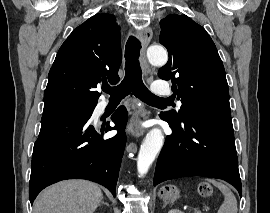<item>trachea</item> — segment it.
Instances as JSON below:
<instances>
[{
  "mask_svg": "<svg viewBox=\"0 0 270 213\" xmlns=\"http://www.w3.org/2000/svg\"><path fill=\"white\" fill-rule=\"evenodd\" d=\"M141 43L130 36L125 49V77L115 87H106L104 91L110 95V99H123L130 93L146 103L166 102L167 98H160L152 94L142 81V70L139 63Z\"/></svg>",
  "mask_w": 270,
  "mask_h": 213,
  "instance_id": "obj_1",
  "label": "trachea"
}]
</instances>
